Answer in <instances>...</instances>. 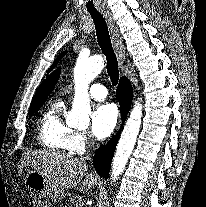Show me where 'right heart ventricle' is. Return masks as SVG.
Listing matches in <instances>:
<instances>
[{"mask_svg": "<svg viewBox=\"0 0 206 207\" xmlns=\"http://www.w3.org/2000/svg\"><path fill=\"white\" fill-rule=\"evenodd\" d=\"M65 105L55 101L41 116L38 125V139L42 146L61 152H72L74 130L63 118Z\"/></svg>", "mask_w": 206, "mask_h": 207, "instance_id": "right-heart-ventricle-1", "label": "right heart ventricle"}]
</instances>
